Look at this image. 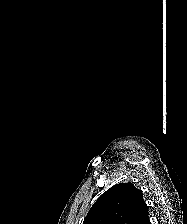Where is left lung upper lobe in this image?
Here are the masks:
<instances>
[{"label":"left lung upper lobe","mask_w":187,"mask_h":224,"mask_svg":"<svg viewBox=\"0 0 187 224\" xmlns=\"http://www.w3.org/2000/svg\"><path fill=\"white\" fill-rule=\"evenodd\" d=\"M142 191L132 183H119L93 204L83 224H151Z\"/></svg>","instance_id":"obj_1"}]
</instances>
